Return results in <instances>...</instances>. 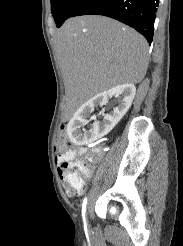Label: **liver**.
<instances>
[{
    "label": "liver",
    "mask_w": 183,
    "mask_h": 246,
    "mask_svg": "<svg viewBox=\"0 0 183 246\" xmlns=\"http://www.w3.org/2000/svg\"><path fill=\"white\" fill-rule=\"evenodd\" d=\"M54 42L72 106L115 86L140 83L146 75L147 41L108 17L71 18L56 31Z\"/></svg>",
    "instance_id": "liver-1"
}]
</instances>
